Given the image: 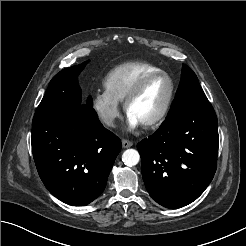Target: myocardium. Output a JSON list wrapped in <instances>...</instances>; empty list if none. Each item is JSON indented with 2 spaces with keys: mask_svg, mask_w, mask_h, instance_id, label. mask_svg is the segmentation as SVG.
Listing matches in <instances>:
<instances>
[{
  "mask_svg": "<svg viewBox=\"0 0 246 246\" xmlns=\"http://www.w3.org/2000/svg\"><path fill=\"white\" fill-rule=\"evenodd\" d=\"M159 76H164L168 79L169 83H170V92L169 95L167 97V100L161 110V112L152 120H150L147 123L142 124L144 128L150 129V128H154L156 126H158L159 124H161L165 118L167 117L174 97H175V92H176V86H175V82L173 80V78L171 77V75L169 73H167L166 71L160 70V71H156V72H152L149 73L147 75H145L144 77H142L137 84L133 87V89L129 92V94L127 95V97L124 100V110L126 111V113L128 114L129 108L131 106V104L135 101V99L142 93V91L145 89V87L155 78L159 77Z\"/></svg>",
  "mask_w": 246,
  "mask_h": 246,
  "instance_id": "obj_1",
  "label": "myocardium"
}]
</instances>
